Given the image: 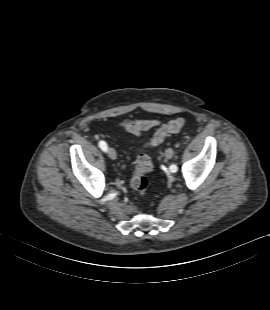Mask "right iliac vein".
<instances>
[{
	"label": "right iliac vein",
	"mask_w": 270,
	"mask_h": 310,
	"mask_svg": "<svg viewBox=\"0 0 270 310\" xmlns=\"http://www.w3.org/2000/svg\"><path fill=\"white\" fill-rule=\"evenodd\" d=\"M107 154L112 160H115L117 158V153L113 148H108Z\"/></svg>",
	"instance_id": "1"
}]
</instances>
